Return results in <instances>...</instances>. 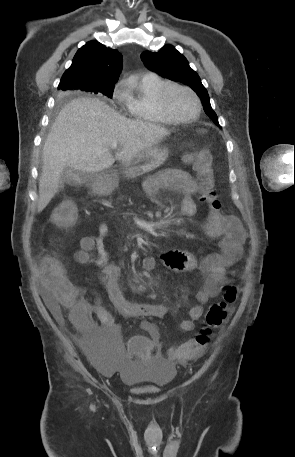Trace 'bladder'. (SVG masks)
Returning a JSON list of instances; mask_svg holds the SVG:
<instances>
[{"label": "bladder", "mask_w": 295, "mask_h": 457, "mask_svg": "<svg viewBox=\"0 0 295 457\" xmlns=\"http://www.w3.org/2000/svg\"><path fill=\"white\" fill-rule=\"evenodd\" d=\"M120 345V338H77L82 356H87L102 372L117 371L128 387L149 390L163 387L173 379L174 368L160 346L155 348L152 366H133L130 359L124 356L119 359L117 347Z\"/></svg>", "instance_id": "bladder-1"}]
</instances>
